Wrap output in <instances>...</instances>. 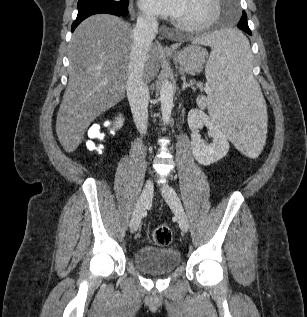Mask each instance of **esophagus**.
<instances>
[{
    "label": "esophagus",
    "instance_id": "1",
    "mask_svg": "<svg viewBox=\"0 0 307 317\" xmlns=\"http://www.w3.org/2000/svg\"><path fill=\"white\" fill-rule=\"evenodd\" d=\"M162 51L165 52V53H172L173 52L172 48L169 47V46H164L162 48Z\"/></svg>",
    "mask_w": 307,
    "mask_h": 317
}]
</instances>
